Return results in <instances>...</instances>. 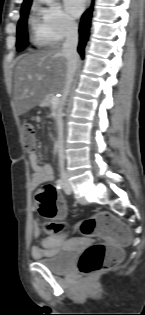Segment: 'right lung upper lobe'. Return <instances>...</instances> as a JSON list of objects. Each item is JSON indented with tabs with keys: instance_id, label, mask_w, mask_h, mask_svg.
<instances>
[{
	"instance_id": "1",
	"label": "right lung upper lobe",
	"mask_w": 145,
	"mask_h": 315,
	"mask_svg": "<svg viewBox=\"0 0 145 315\" xmlns=\"http://www.w3.org/2000/svg\"><path fill=\"white\" fill-rule=\"evenodd\" d=\"M32 0H24L22 7L27 6V5H31Z\"/></svg>"
}]
</instances>
